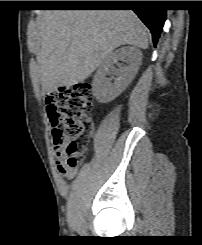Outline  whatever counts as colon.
I'll use <instances>...</instances> for the list:
<instances>
[{"label":"colon","mask_w":202,"mask_h":245,"mask_svg":"<svg viewBox=\"0 0 202 245\" xmlns=\"http://www.w3.org/2000/svg\"><path fill=\"white\" fill-rule=\"evenodd\" d=\"M53 143L64 142L66 164L77 167L92 131L93 92L86 82L64 86L56 96Z\"/></svg>","instance_id":"1"}]
</instances>
